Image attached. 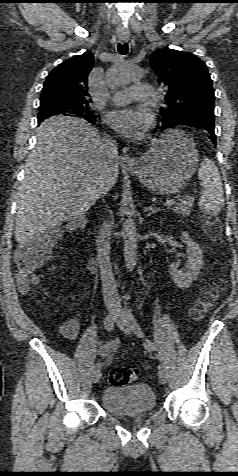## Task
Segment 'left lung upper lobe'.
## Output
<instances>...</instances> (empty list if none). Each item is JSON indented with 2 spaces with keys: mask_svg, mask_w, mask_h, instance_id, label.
<instances>
[{
  "mask_svg": "<svg viewBox=\"0 0 238 476\" xmlns=\"http://www.w3.org/2000/svg\"><path fill=\"white\" fill-rule=\"evenodd\" d=\"M158 83L166 87L162 125L197 119L214 121V90L206 64L197 56L160 49L150 56Z\"/></svg>",
  "mask_w": 238,
  "mask_h": 476,
  "instance_id": "1",
  "label": "left lung upper lobe"
}]
</instances>
